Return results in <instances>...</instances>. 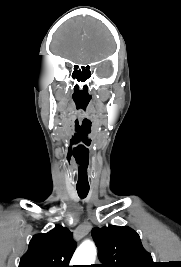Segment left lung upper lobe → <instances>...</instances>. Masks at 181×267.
Instances as JSON below:
<instances>
[{
	"label": "left lung upper lobe",
	"mask_w": 181,
	"mask_h": 267,
	"mask_svg": "<svg viewBox=\"0 0 181 267\" xmlns=\"http://www.w3.org/2000/svg\"><path fill=\"white\" fill-rule=\"evenodd\" d=\"M92 237L103 263L98 267H156L150 253L143 248L139 235L129 227H95Z\"/></svg>",
	"instance_id": "obj_1"
}]
</instances>
